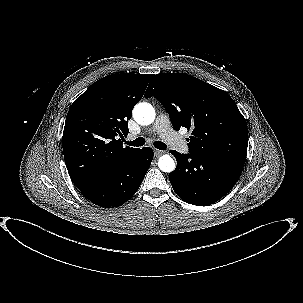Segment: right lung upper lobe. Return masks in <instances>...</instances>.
Returning a JSON list of instances; mask_svg holds the SVG:
<instances>
[{"mask_svg":"<svg viewBox=\"0 0 303 303\" xmlns=\"http://www.w3.org/2000/svg\"><path fill=\"white\" fill-rule=\"evenodd\" d=\"M153 75L112 74L96 81L71 105L62 146L72 182L81 190L132 159L139 149L123 147L128 120ZM121 139H120V138Z\"/></svg>","mask_w":303,"mask_h":303,"instance_id":"obj_1","label":"right lung upper lobe"}]
</instances>
